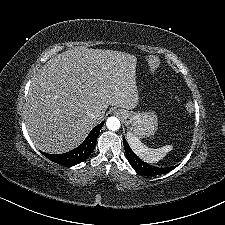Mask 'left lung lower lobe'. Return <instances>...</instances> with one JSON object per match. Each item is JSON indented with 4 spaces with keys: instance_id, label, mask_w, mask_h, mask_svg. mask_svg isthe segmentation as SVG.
Returning a JSON list of instances; mask_svg holds the SVG:
<instances>
[{
    "instance_id": "left-lung-lower-lobe-1",
    "label": "left lung lower lobe",
    "mask_w": 225,
    "mask_h": 225,
    "mask_svg": "<svg viewBox=\"0 0 225 225\" xmlns=\"http://www.w3.org/2000/svg\"><path fill=\"white\" fill-rule=\"evenodd\" d=\"M123 141H124V148H125L127 159L129 163L131 164V166L134 168V170L140 175L155 176L158 174L167 173L176 167L174 166V167H167V168H159V167L151 166L147 164L146 162L142 161L141 159H139L134 154V152L129 147L125 138L123 139Z\"/></svg>"
}]
</instances>
